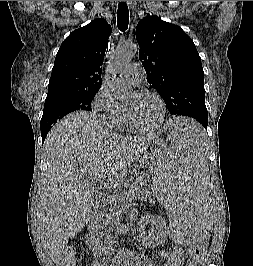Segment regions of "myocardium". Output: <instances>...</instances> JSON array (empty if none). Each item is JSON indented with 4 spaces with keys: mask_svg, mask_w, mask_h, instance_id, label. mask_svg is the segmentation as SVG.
I'll return each mask as SVG.
<instances>
[{
    "mask_svg": "<svg viewBox=\"0 0 253 266\" xmlns=\"http://www.w3.org/2000/svg\"><path fill=\"white\" fill-rule=\"evenodd\" d=\"M135 93L138 95L149 94V95L154 96L160 105V116L157 122L154 123L153 125L148 126V127H143V126H140L135 121L133 115L125 108V115H126L127 122H128L130 129L137 131V132H151V131L157 130L163 125L165 121V117H166V104H165L163 97L157 91L152 90V89H140V90L135 91Z\"/></svg>",
    "mask_w": 253,
    "mask_h": 266,
    "instance_id": "f54148a6",
    "label": "myocardium"
}]
</instances>
